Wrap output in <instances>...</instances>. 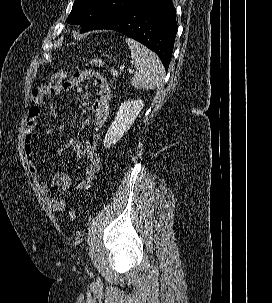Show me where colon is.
Listing matches in <instances>:
<instances>
[{
  "mask_svg": "<svg viewBox=\"0 0 272 303\" xmlns=\"http://www.w3.org/2000/svg\"><path fill=\"white\" fill-rule=\"evenodd\" d=\"M91 63L94 66L99 67V68L104 66V61L98 57L93 58L91 60ZM110 73L113 77H118L120 75L119 71L115 68H112L110 70ZM66 76H67V72H65V71H61V72H57V73L53 74L51 81L49 83V86H48L49 92L53 96L60 95V93L62 91L63 82H64V79L66 78ZM69 217L71 220H75L77 218V213L74 209H70Z\"/></svg>",
  "mask_w": 272,
  "mask_h": 303,
  "instance_id": "obj_1",
  "label": "colon"
}]
</instances>
